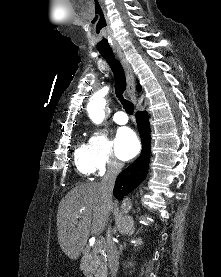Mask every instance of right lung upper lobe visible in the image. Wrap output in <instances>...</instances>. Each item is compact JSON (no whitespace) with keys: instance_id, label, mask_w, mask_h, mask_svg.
I'll list each match as a JSON object with an SVG mask.
<instances>
[{"instance_id":"1","label":"right lung upper lobe","mask_w":221,"mask_h":277,"mask_svg":"<svg viewBox=\"0 0 221 277\" xmlns=\"http://www.w3.org/2000/svg\"><path fill=\"white\" fill-rule=\"evenodd\" d=\"M137 90L141 91V86L139 84L137 85Z\"/></svg>"}]
</instances>
